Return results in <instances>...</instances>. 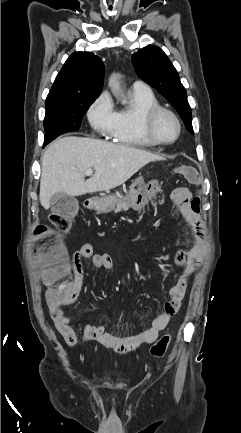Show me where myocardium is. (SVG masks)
I'll use <instances>...</instances> for the list:
<instances>
[{"label": "myocardium", "instance_id": "obj_1", "mask_svg": "<svg viewBox=\"0 0 241 433\" xmlns=\"http://www.w3.org/2000/svg\"><path fill=\"white\" fill-rule=\"evenodd\" d=\"M163 114L169 115L175 121L176 126H177V134H176L175 138H173L172 140H169V141H165V140L160 139L155 133L156 121ZM142 128H143V132H144L145 136L147 137V139L151 143H153L154 145L173 144L179 139V137L181 135V131H182L181 121H180L179 117L177 116V114L174 111H172L171 109L160 106V105L152 107V108L145 111L143 118H142Z\"/></svg>", "mask_w": 241, "mask_h": 433}]
</instances>
